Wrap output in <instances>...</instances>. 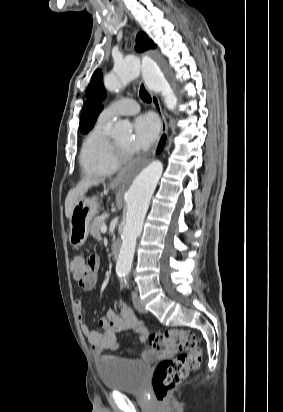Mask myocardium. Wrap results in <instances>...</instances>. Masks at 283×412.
I'll use <instances>...</instances> for the list:
<instances>
[{"mask_svg":"<svg viewBox=\"0 0 283 412\" xmlns=\"http://www.w3.org/2000/svg\"><path fill=\"white\" fill-rule=\"evenodd\" d=\"M112 152L119 165L129 162L133 155L131 151L123 149L115 140L111 142Z\"/></svg>","mask_w":283,"mask_h":412,"instance_id":"myocardium-1","label":"myocardium"}]
</instances>
